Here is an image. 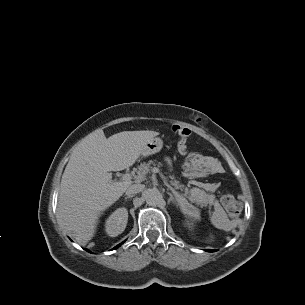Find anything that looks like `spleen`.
<instances>
[{"instance_id":"1","label":"spleen","mask_w":305,"mask_h":305,"mask_svg":"<svg viewBox=\"0 0 305 305\" xmlns=\"http://www.w3.org/2000/svg\"><path fill=\"white\" fill-rule=\"evenodd\" d=\"M182 212L186 218L191 221L192 224H194L196 221H199L201 218L200 210L191 204L184 206L182 208ZM212 220L218 228L226 229L225 216L220 208L214 212Z\"/></svg>"}]
</instances>
